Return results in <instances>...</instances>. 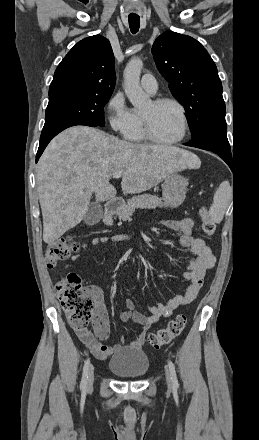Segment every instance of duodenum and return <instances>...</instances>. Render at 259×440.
<instances>
[{
	"mask_svg": "<svg viewBox=\"0 0 259 440\" xmlns=\"http://www.w3.org/2000/svg\"><path fill=\"white\" fill-rule=\"evenodd\" d=\"M118 204H119L118 199H112L109 202H107L104 207L105 215L110 216L114 212Z\"/></svg>",
	"mask_w": 259,
	"mask_h": 440,
	"instance_id": "duodenum-1",
	"label": "duodenum"
}]
</instances>
